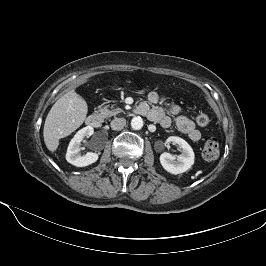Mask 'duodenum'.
<instances>
[{
  "mask_svg": "<svg viewBox=\"0 0 266 266\" xmlns=\"http://www.w3.org/2000/svg\"><path fill=\"white\" fill-rule=\"evenodd\" d=\"M135 112L140 114L141 109L139 106L135 109ZM86 124L92 128H98L101 125V117L98 114L89 115L86 119Z\"/></svg>",
  "mask_w": 266,
  "mask_h": 266,
  "instance_id": "duodenum-1",
  "label": "duodenum"
}]
</instances>
